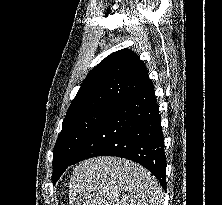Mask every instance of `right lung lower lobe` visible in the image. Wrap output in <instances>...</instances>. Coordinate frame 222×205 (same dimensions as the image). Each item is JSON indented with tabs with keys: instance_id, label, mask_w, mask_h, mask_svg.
Segmentation results:
<instances>
[{
	"instance_id": "right-lung-lower-lobe-1",
	"label": "right lung lower lobe",
	"mask_w": 222,
	"mask_h": 205,
	"mask_svg": "<svg viewBox=\"0 0 222 205\" xmlns=\"http://www.w3.org/2000/svg\"><path fill=\"white\" fill-rule=\"evenodd\" d=\"M105 155L141 164L165 189L166 157L152 83L130 93L111 108L83 142L70 165Z\"/></svg>"
}]
</instances>
